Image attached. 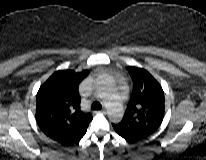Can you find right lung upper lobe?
Instances as JSON below:
<instances>
[{
  "label": "right lung upper lobe",
  "instance_id": "right-lung-upper-lobe-1",
  "mask_svg": "<svg viewBox=\"0 0 206 160\" xmlns=\"http://www.w3.org/2000/svg\"><path fill=\"white\" fill-rule=\"evenodd\" d=\"M80 81L72 70L57 71L37 93V123L44 134L63 145L79 141L92 120L80 109Z\"/></svg>",
  "mask_w": 206,
  "mask_h": 160
}]
</instances>
